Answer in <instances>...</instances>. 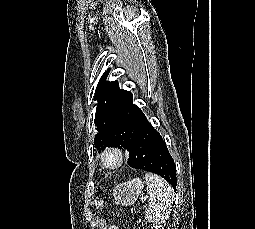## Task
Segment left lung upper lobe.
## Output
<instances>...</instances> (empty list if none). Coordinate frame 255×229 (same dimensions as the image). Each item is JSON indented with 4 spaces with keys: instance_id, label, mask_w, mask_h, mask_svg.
Instances as JSON below:
<instances>
[{
    "instance_id": "1",
    "label": "left lung upper lobe",
    "mask_w": 255,
    "mask_h": 229,
    "mask_svg": "<svg viewBox=\"0 0 255 229\" xmlns=\"http://www.w3.org/2000/svg\"><path fill=\"white\" fill-rule=\"evenodd\" d=\"M109 71L110 69L101 77L94 96V100L99 103L95 114L97 134L94 145L98 150L108 146L128 149L129 139L124 135V132L119 131L112 124V114L121 105L129 92L119 89L117 81H106Z\"/></svg>"
}]
</instances>
